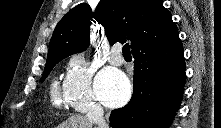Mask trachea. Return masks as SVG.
I'll return each instance as SVG.
<instances>
[{
	"label": "trachea",
	"instance_id": "trachea-1",
	"mask_svg": "<svg viewBox=\"0 0 221 128\" xmlns=\"http://www.w3.org/2000/svg\"><path fill=\"white\" fill-rule=\"evenodd\" d=\"M125 42H122L124 44ZM124 57H131L130 46L129 43H125L122 49Z\"/></svg>",
	"mask_w": 221,
	"mask_h": 128
}]
</instances>
